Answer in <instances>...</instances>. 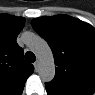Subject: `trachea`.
Segmentation results:
<instances>
[{"label":"trachea","instance_id":"trachea-1","mask_svg":"<svg viewBox=\"0 0 95 95\" xmlns=\"http://www.w3.org/2000/svg\"><path fill=\"white\" fill-rule=\"evenodd\" d=\"M25 59H26L28 62L33 63V62H35L36 57H35L34 53H32L31 51H28V52H26V54H25Z\"/></svg>","mask_w":95,"mask_h":95}]
</instances>
